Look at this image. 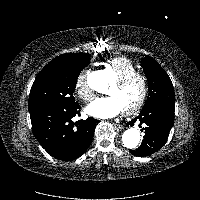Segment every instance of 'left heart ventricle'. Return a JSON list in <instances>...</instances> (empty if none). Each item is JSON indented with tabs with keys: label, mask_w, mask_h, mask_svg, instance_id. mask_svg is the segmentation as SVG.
<instances>
[{
	"label": "left heart ventricle",
	"mask_w": 200,
	"mask_h": 200,
	"mask_svg": "<svg viewBox=\"0 0 200 200\" xmlns=\"http://www.w3.org/2000/svg\"><path fill=\"white\" fill-rule=\"evenodd\" d=\"M141 91V82L133 80L123 87H119L114 83L109 89L108 94L115 96L124 110L133 106L138 101Z\"/></svg>",
	"instance_id": "left-heart-ventricle-1"
}]
</instances>
